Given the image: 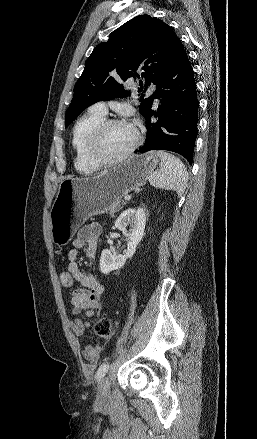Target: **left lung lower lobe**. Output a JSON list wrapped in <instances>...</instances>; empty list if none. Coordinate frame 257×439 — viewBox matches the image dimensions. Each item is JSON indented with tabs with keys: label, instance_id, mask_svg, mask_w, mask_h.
I'll return each mask as SVG.
<instances>
[{
	"label": "left lung lower lobe",
	"instance_id": "left-lung-lower-lobe-1",
	"mask_svg": "<svg viewBox=\"0 0 257 439\" xmlns=\"http://www.w3.org/2000/svg\"><path fill=\"white\" fill-rule=\"evenodd\" d=\"M156 86L151 99H160L161 106L156 112L151 109L145 116L147 138L145 145L135 153L168 150L182 155L192 164L199 101L193 69L180 39ZM151 116L158 117L156 123L151 121Z\"/></svg>",
	"mask_w": 257,
	"mask_h": 439
}]
</instances>
